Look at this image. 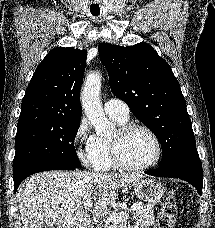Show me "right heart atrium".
Instances as JSON below:
<instances>
[{
	"mask_svg": "<svg viewBox=\"0 0 215 228\" xmlns=\"http://www.w3.org/2000/svg\"><path fill=\"white\" fill-rule=\"evenodd\" d=\"M95 136L90 134V124L82 117L74 129L72 144L77 159L83 164H90Z\"/></svg>",
	"mask_w": 215,
	"mask_h": 228,
	"instance_id": "1",
	"label": "right heart atrium"
}]
</instances>
